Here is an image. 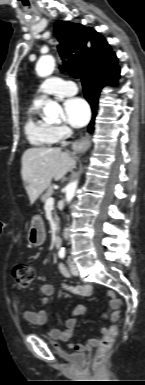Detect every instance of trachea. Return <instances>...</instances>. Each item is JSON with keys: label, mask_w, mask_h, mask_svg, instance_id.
<instances>
[{"label": "trachea", "mask_w": 145, "mask_h": 385, "mask_svg": "<svg viewBox=\"0 0 145 385\" xmlns=\"http://www.w3.org/2000/svg\"><path fill=\"white\" fill-rule=\"evenodd\" d=\"M58 51H59V54H60L61 58L64 59V52H63V49L60 46H58ZM63 64H64V68L67 71V73L69 75H71L72 77L77 79L78 78L77 70L72 65H70L68 62H66V61H64Z\"/></svg>", "instance_id": "1"}]
</instances>
